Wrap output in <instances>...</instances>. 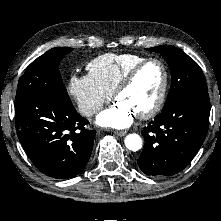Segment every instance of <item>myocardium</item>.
<instances>
[{
  "instance_id": "f54148a6",
  "label": "myocardium",
  "mask_w": 221,
  "mask_h": 221,
  "mask_svg": "<svg viewBox=\"0 0 221 221\" xmlns=\"http://www.w3.org/2000/svg\"><path fill=\"white\" fill-rule=\"evenodd\" d=\"M151 63L158 64L162 69V72H163L162 86H161L159 95H158L155 103L148 110L137 114V117L139 119L152 118L161 110V108L165 102L168 87H169V70H168L167 65L161 59L147 58L144 61L135 65L133 68H131L127 72V74L122 78V80L119 82V84L117 85V87L115 88V90L113 92L114 98L117 99L118 95L121 92H123L124 90H126L133 83V81L135 80L137 75L140 73V71L144 67H146L147 65H149Z\"/></svg>"
}]
</instances>
